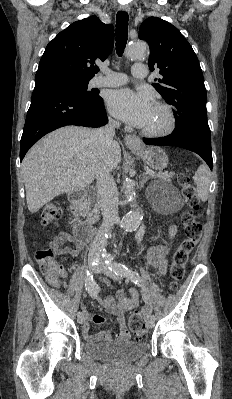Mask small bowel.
Returning <instances> with one entry per match:
<instances>
[{
	"label": "small bowel",
	"instance_id": "c3829d8e",
	"mask_svg": "<svg viewBox=\"0 0 232 399\" xmlns=\"http://www.w3.org/2000/svg\"><path fill=\"white\" fill-rule=\"evenodd\" d=\"M84 248L83 242H75L72 245L64 243H54L53 250L57 254H68L71 256H76L80 250ZM147 261L156 263L160 270L164 272L167 267V262L165 255L162 251L158 249H153L147 257ZM102 283L106 288L112 287V282L108 278H101ZM129 297H125V292L123 289L117 291V296L119 300L116 302L112 297H107L101 300L102 305L110 313H114L120 324L118 332L110 333L107 336L109 339L117 341L126 338L129 335L130 329L124 324V314L127 310L136 308L139 304V292L137 288H130L128 291ZM81 311L86 316L89 322L84 323L79 326V331L84 335L88 344L91 346L97 345L99 341L98 335L92 333L91 323H102L103 317L97 314H93L88 307L82 306Z\"/></svg>",
	"mask_w": 232,
	"mask_h": 399
}]
</instances>
